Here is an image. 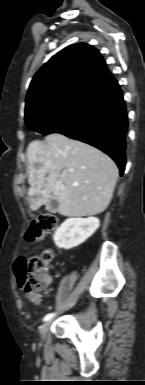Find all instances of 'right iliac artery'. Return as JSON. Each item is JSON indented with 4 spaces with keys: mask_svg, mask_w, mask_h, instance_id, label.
<instances>
[{
    "mask_svg": "<svg viewBox=\"0 0 145 385\" xmlns=\"http://www.w3.org/2000/svg\"><path fill=\"white\" fill-rule=\"evenodd\" d=\"M54 313H49L47 314L45 317H44V321H49L50 319H52L54 317Z\"/></svg>",
    "mask_w": 145,
    "mask_h": 385,
    "instance_id": "right-iliac-artery-1",
    "label": "right iliac artery"
}]
</instances>
